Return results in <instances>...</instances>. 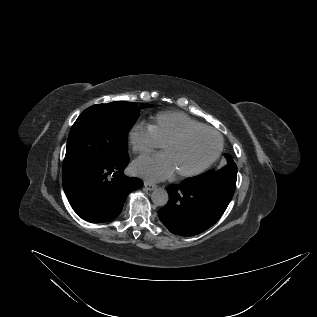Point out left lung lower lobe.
<instances>
[{
	"label": "left lung lower lobe",
	"mask_w": 317,
	"mask_h": 317,
	"mask_svg": "<svg viewBox=\"0 0 317 317\" xmlns=\"http://www.w3.org/2000/svg\"><path fill=\"white\" fill-rule=\"evenodd\" d=\"M235 188V182L201 175L169 185V201L158 211L159 218L176 235L199 234L220 219Z\"/></svg>",
	"instance_id": "left-lung-lower-lobe-1"
}]
</instances>
